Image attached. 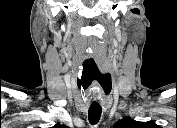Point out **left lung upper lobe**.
<instances>
[{"label":"left lung upper lobe","mask_w":177,"mask_h":128,"mask_svg":"<svg viewBox=\"0 0 177 128\" xmlns=\"http://www.w3.org/2000/svg\"><path fill=\"white\" fill-rule=\"evenodd\" d=\"M145 124H153L151 122L146 123V122H138L135 121L131 118H124L122 120H119L116 124H115V128H138L140 126H143Z\"/></svg>","instance_id":"left-lung-upper-lobe-1"}]
</instances>
